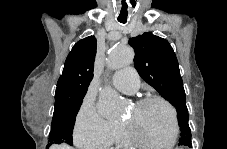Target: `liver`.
<instances>
[{
    "instance_id": "1",
    "label": "liver",
    "mask_w": 227,
    "mask_h": 149,
    "mask_svg": "<svg viewBox=\"0 0 227 149\" xmlns=\"http://www.w3.org/2000/svg\"><path fill=\"white\" fill-rule=\"evenodd\" d=\"M54 149H69V147L68 146H55V147H53Z\"/></svg>"
}]
</instances>
